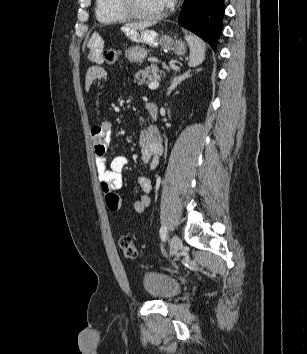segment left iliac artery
<instances>
[{"instance_id": "obj_1", "label": "left iliac artery", "mask_w": 307, "mask_h": 354, "mask_svg": "<svg viewBox=\"0 0 307 354\" xmlns=\"http://www.w3.org/2000/svg\"><path fill=\"white\" fill-rule=\"evenodd\" d=\"M166 235H167V227L166 226H162L160 228V237H161V239L163 241H165Z\"/></svg>"}]
</instances>
